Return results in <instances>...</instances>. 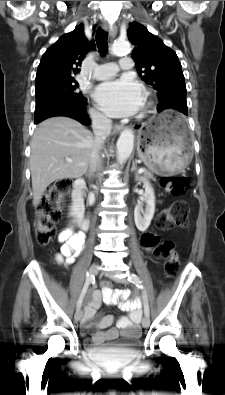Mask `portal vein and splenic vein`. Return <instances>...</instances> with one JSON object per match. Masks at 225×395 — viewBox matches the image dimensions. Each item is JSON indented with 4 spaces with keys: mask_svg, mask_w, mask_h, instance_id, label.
Wrapping results in <instances>:
<instances>
[{
    "mask_svg": "<svg viewBox=\"0 0 225 395\" xmlns=\"http://www.w3.org/2000/svg\"><path fill=\"white\" fill-rule=\"evenodd\" d=\"M66 161H67V162H72V159L67 158ZM144 171H145L144 168H140L138 172H139V173H143Z\"/></svg>",
    "mask_w": 225,
    "mask_h": 395,
    "instance_id": "1",
    "label": "portal vein and splenic vein"
}]
</instances>
